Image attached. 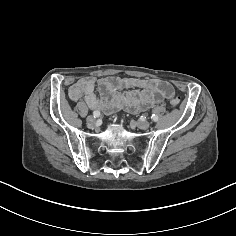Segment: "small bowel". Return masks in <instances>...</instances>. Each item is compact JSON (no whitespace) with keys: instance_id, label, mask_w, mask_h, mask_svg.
<instances>
[{"instance_id":"obj_1","label":"small bowel","mask_w":236,"mask_h":236,"mask_svg":"<svg viewBox=\"0 0 236 236\" xmlns=\"http://www.w3.org/2000/svg\"><path fill=\"white\" fill-rule=\"evenodd\" d=\"M68 94L73 102L84 99L91 109L109 115L121 108L133 113L146 110L174 97L175 90L169 82L153 78L111 76L96 85L94 78L83 77L70 86Z\"/></svg>"}]
</instances>
